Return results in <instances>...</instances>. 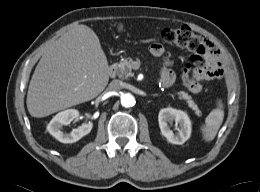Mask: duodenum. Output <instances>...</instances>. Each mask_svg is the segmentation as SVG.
Listing matches in <instances>:
<instances>
[{
    "instance_id": "obj_1",
    "label": "duodenum",
    "mask_w": 260,
    "mask_h": 192,
    "mask_svg": "<svg viewBox=\"0 0 260 192\" xmlns=\"http://www.w3.org/2000/svg\"><path fill=\"white\" fill-rule=\"evenodd\" d=\"M115 72H116V69L114 66H110L109 69H108V73L110 76H114L115 75Z\"/></svg>"
}]
</instances>
